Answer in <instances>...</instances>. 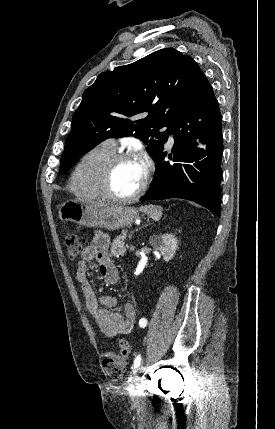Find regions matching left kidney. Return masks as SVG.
<instances>
[{
    "label": "left kidney",
    "instance_id": "obj_1",
    "mask_svg": "<svg viewBox=\"0 0 275 429\" xmlns=\"http://www.w3.org/2000/svg\"><path fill=\"white\" fill-rule=\"evenodd\" d=\"M150 244L160 251L166 262H169L174 257L178 248L177 239L172 234L153 236L150 238Z\"/></svg>",
    "mask_w": 275,
    "mask_h": 429
}]
</instances>
